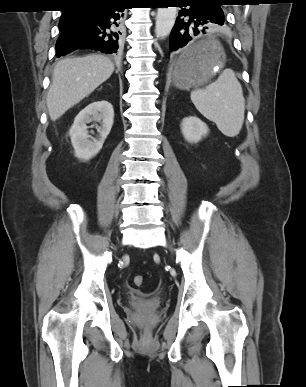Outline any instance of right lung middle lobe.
I'll return each mask as SVG.
<instances>
[{
    "label": "right lung middle lobe",
    "mask_w": 306,
    "mask_h": 387,
    "mask_svg": "<svg viewBox=\"0 0 306 387\" xmlns=\"http://www.w3.org/2000/svg\"><path fill=\"white\" fill-rule=\"evenodd\" d=\"M77 22H79V19L74 12L63 14V17L59 22V28L64 29L72 25H75Z\"/></svg>",
    "instance_id": "obj_1"
}]
</instances>
